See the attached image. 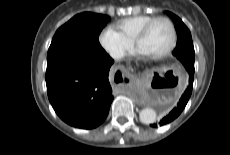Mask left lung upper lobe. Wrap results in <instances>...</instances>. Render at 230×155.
Segmentation results:
<instances>
[{
	"instance_id": "1",
	"label": "left lung upper lobe",
	"mask_w": 230,
	"mask_h": 155,
	"mask_svg": "<svg viewBox=\"0 0 230 155\" xmlns=\"http://www.w3.org/2000/svg\"><path fill=\"white\" fill-rule=\"evenodd\" d=\"M166 13L174 21V25L177 31L178 39L176 48L173 51V55L176 56L179 60L180 58H188L194 62V47L189 29L178 16L168 11Z\"/></svg>"
}]
</instances>
